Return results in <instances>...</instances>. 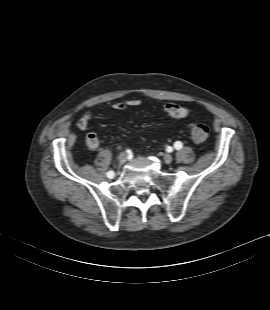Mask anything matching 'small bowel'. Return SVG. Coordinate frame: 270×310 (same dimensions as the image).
I'll use <instances>...</instances> for the list:
<instances>
[{
    "mask_svg": "<svg viewBox=\"0 0 270 310\" xmlns=\"http://www.w3.org/2000/svg\"><path fill=\"white\" fill-rule=\"evenodd\" d=\"M140 104L141 101L139 99H129L124 102H116L113 105V108L117 111H124L127 107H138ZM164 111L166 114H168L170 117L174 119L185 118L190 112L189 108L173 103L166 104L164 106ZM91 117H92L91 112H87L84 115H82L77 121V127L80 130H86L89 127ZM86 141L90 149H96L100 144L99 137L95 132H90L87 135Z\"/></svg>",
    "mask_w": 270,
    "mask_h": 310,
    "instance_id": "c3829d8e",
    "label": "small bowel"
}]
</instances>
